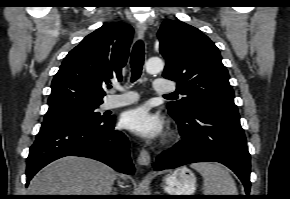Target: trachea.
<instances>
[{
  "label": "trachea",
  "instance_id": "1",
  "mask_svg": "<svg viewBox=\"0 0 290 199\" xmlns=\"http://www.w3.org/2000/svg\"><path fill=\"white\" fill-rule=\"evenodd\" d=\"M144 44L141 40L137 41L132 49L131 54V81L134 82L138 80L142 73L143 63H144ZM111 87V86H110ZM173 94H168L166 96H172Z\"/></svg>",
  "mask_w": 290,
  "mask_h": 199
}]
</instances>
